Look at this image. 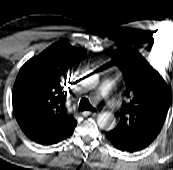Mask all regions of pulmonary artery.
Returning a JSON list of instances; mask_svg holds the SVG:
<instances>
[{"instance_id": "pulmonary-artery-1", "label": "pulmonary artery", "mask_w": 173, "mask_h": 170, "mask_svg": "<svg viewBox=\"0 0 173 170\" xmlns=\"http://www.w3.org/2000/svg\"><path fill=\"white\" fill-rule=\"evenodd\" d=\"M112 87V81L108 78H105L102 80L101 85H100V93L103 96L108 95Z\"/></svg>"}]
</instances>
